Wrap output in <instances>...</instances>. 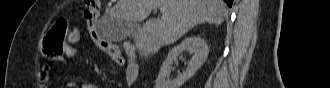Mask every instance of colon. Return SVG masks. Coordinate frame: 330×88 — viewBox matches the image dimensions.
<instances>
[{"mask_svg": "<svg viewBox=\"0 0 330 88\" xmlns=\"http://www.w3.org/2000/svg\"><path fill=\"white\" fill-rule=\"evenodd\" d=\"M101 2L99 0H89L84 7V18L86 20L91 39L96 47L105 51L111 48L112 43L104 39L97 31L96 21L100 14ZM68 35V23L65 19L58 20L47 32L43 39L42 52L52 59H60L65 51L66 39ZM116 46V45H114ZM117 47V46H116ZM114 61H119L120 55L112 56Z\"/></svg>", "mask_w": 330, "mask_h": 88, "instance_id": "obj_1", "label": "colon"}]
</instances>
